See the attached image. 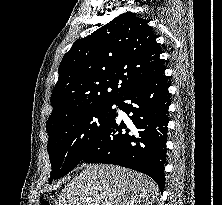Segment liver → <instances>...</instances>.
I'll list each match as a JSON object with an SVG mask.
<instances>
[{
    "label": "liver",
    "instance_id": "6515ba94",
    "mask_svg": "<svg viewBox=\"0 0 222 205\" xmlns=\"http://www.w3.org/2000/svg\"><path fill=\"white\" fill-rule=\"evenodd\" d=\"M158 195L155 182L139 172L95 164L62 189L56 205H152Z\"/></svg>",
    "mask_w": 222,
    "mask_h": 205
}]
</instances>
